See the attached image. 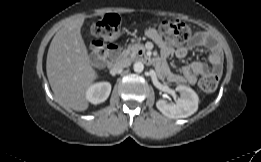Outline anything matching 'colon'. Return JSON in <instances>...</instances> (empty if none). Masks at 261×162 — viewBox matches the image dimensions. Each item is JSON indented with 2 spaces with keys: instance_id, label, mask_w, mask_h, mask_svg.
<instances>
[{
  "instance_id": "obj_1",
  "label": "colon",
  "mask_w": 261,
  "mask_h": 162,
  "mask_svg": "<svg viewBox=\"0 0 261 162\" xmlns=\"http://www.w3.org/2000/svg\"><path fill=\"white\" fill-rule=\"evenodd\" d=\"M121 19L117 14H106L96 20L91 27L95 36L91 54L96 62H102L107 55L106 41L117 42L121 33ZM159 32L170 44H183L191 39V28L180 20H164L159 25ZM215 75L204 74L199 79V86L205 93H212L217 88Z\"/></svg>"
}]
</instances>
